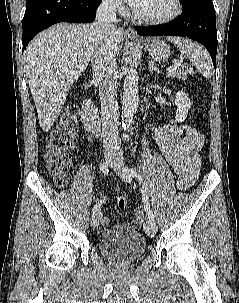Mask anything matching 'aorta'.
<instances>
[{
	"label": "aorta",
	"instance_id": "aorta-1",
	"mask_svg": "<svg viewBox=\"0 0 239 303\" xmlns=\"http://www.w3.org/2000/svg\"><path fill=\"white\" fill-rule=\"evenodd\" d=\"M138 80L139 76L136 70V61L133 60L130 61V67L127 69V75L123 85L121 123L124 129L130 126L138 108Z\"/></svg>",
	"mask_w": 239,
	"mask_h": 303
}]
</instances>
